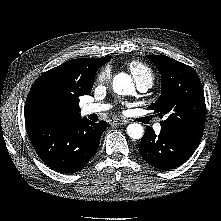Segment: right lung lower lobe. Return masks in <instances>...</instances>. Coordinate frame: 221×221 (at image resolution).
I'll return each mask as SVG.
<instances>
[{
	"label": "right lung lower lobe",
	"instance_id": "98d812e1",
	"mask_svg": "<svg viewBox=\"0 0 221 221\" xmlns=\"http://www.w3.org/2000/svg\"><path fill=\"white\" fill-rule=\"evenodd\" d=\"M26 128L35 151L48 167L75 173L96 153L107 123L70 117L53 123L29 122Z\"/></svg>",
	"mask_w": 221,
	"mask_h": 221
}]
</instances>
